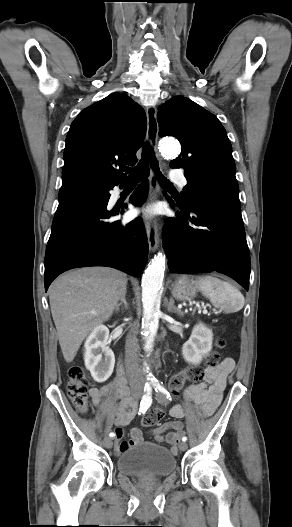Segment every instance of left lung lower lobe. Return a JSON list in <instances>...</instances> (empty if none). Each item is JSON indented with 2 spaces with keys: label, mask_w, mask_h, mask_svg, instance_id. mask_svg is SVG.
Masks as SVG:
<instances>
[{
  "label": "left lung lower lobe",
  "mask_w": 292,
  "mask_h": 527,
  "mask_svg": "<svg viewBox=\"0 0 292 527\" xmlns=\"http://www.w3.org/2000/svg\"><path fill=\"white\" fill-rule=\"evenodd\" d=\"M175 199V198H174ZM177 201V199H175ZM169 202L174 206L173 201ZM179 206V220L168 218L163 243L173 273L217 271L249 288L250 253L240 203L201 199Z\"/></svg>",
  "instance_id": "1"
}]
</instances>
